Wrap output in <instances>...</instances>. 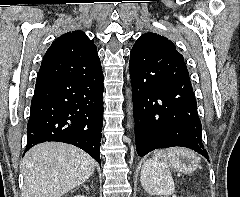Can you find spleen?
Masks as SVG:
<instances>
[{"label": "spleen", "instance_id": "spleen-1", "mask_svg": "<svg viewBox=\"0 0 240 197\" xmlns=\"http://www.w3.org/2000/svg\"><path fill=\"white\" fill-rule=\"evenodd\" d=\"M179 156L199 158L184 148H169L154 152L153 158L147 160L141 171V180L145 190L152 195L167 197L174 193L175 185L171 176L169 165Z\"/></svg>", "mask_w": 240, "mask_h": 197}]
</instances>
